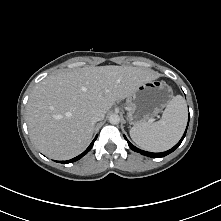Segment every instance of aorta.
I'll list each match as a JSON object with an SVG mask.
<instances>
[{
    "label": "aorta",
    "mask_w": 221,
    "mask_h": 221,
    "mask_svg": "<svg viewBox=\"0 0 221 221\" xmlns=\"http://www.w3.org/2000/svg\"><path fill=\"white\" fill-rule=\"evenodd\" d=\"M109 122L111 123V124H118L119 122H120V117H119V115H117V114H111L110 116H109Z\"/></svg>",
    "instance_id": "obj_1"
}]
</instances>
